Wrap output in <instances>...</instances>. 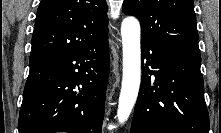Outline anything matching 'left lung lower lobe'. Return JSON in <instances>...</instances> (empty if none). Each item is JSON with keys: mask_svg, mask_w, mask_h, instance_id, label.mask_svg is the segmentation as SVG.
<instances>
[{"mask_svg": "<svg viewBox=\"0 0 221 133\" xmlns=\"http://www.w3.org/2000/svg\"><path fill=\"white\" fill-rule=\"evenodd\" d=\"M141 54L147 62L130 133H209L200 53L141 39Z\"/></svg>", "mask_w": 221, "mask_h": 133, "instance_id": "1", "label": "left lung lower lobe"}]
</instances>
